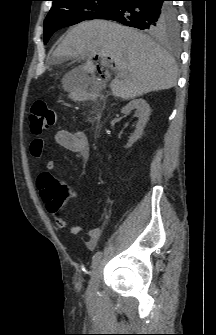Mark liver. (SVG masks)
<instances>
[{
  "label": "liver",
  "mask_w": 216,
  "mask_h": 335,
  "mask_svg": "<svg viewBox=\"0 0 216 335\" xmlns=\"http://www.w3.org/2000/svg\"><path fill=\"white\" fill-rule=\"evenodd\" d=\"M110 57L116 76L110 83L113 96L130 100L151 91L170 89L177 82V65L169 53L147 35L111 21L92 20L74 26L53 52V58L87 59L69 72L64 89L81 86L96 67L91 57Z\"/></svg>",
  "instance_id": "obj_1"
}]
</instances>
